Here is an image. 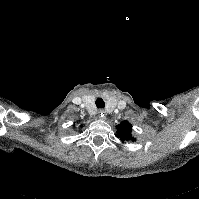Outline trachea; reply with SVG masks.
Segmentation results:
<instances>
[{"label": "trachea", "instance_id": "1", "mask_svg": "<svg viewBox=\"0 0 199 199\" xmlns=\"http://www.w3.org/2000/svg\"><path fill=\"white\" fill-rule=\"evenodd\" d=\"M95 104H96L97 108H104L105 107V103H104L102 98H97L96 101H95Z\"/></svg>", "mask_w": 199, "mask_h": 199}]
</instances>
